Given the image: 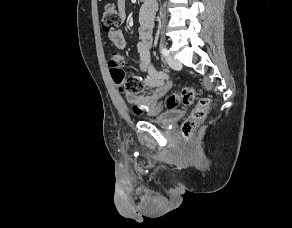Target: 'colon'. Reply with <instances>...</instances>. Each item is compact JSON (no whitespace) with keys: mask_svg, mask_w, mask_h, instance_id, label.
<instances>
[{"mask_svg":"<svg viewBox=\"0 0 292 228\" xmlns=\"http://www.w3.org/2000/svg\"><path fill=\"white\" fill-rule=\"evenodd\" d=\"M122 17L112 4L105 6L102 15V27L105 31H114L120 27ZM109 67L111 76L116 85L128 95H136L142 89V81L139 77H126L122 70L123 58L119 53H112L109 57ZM196 92L191 87H185L181 91L172 93L165 101V107L168 109L177 108L180 105H190L195 101ZM210 105V100L202 97L198 100L194 110L191 112L186 121L182 124L181 132L184 139H190L195 128L205 118ZM134 111L140 112V108L134 105Z\"/></svg>","mask_w":292,"mask_h":228,"instance_id":"colon-1","label":"colon"}]
</instances>
